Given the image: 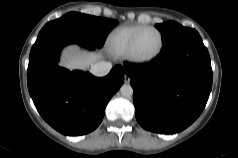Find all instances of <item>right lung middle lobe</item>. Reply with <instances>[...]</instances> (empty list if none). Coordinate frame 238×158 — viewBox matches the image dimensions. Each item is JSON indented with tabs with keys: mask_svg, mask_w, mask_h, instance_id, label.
<instances>
[{
	"mask_svg": "<svg viewBox=\"0 0 238 158\" xmlns=\"http://www.w3.org/2000/svg\"><path fill=\"white\" fill-rule=\"evenodd\" d=\"M116 24V20L71 12L47 23L38 36L54 30L70 31L85 38L91 44L102 47L108 32Z\"/></svg>",
	"mask_w": 238,
	"mask_h": 158,
	"instance_id": "1",
	"label": "right lung middle lobe"
}]
</instances>
